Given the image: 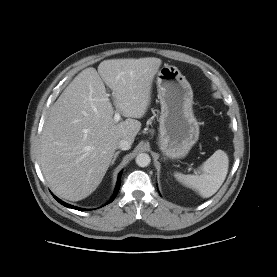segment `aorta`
I'll return each mask as SVG.
<instances>
[{
    "instance_id": "1",
    "label": "aorta",
    "mask_w": 277,
    "mask_h": 277,
    "mask_svg": "<svg viewBox=\"0 0 277 277\" xmlns=\"http://www.w3.org/2000/svg\"><path fill=\"white\" fill-rule=\"evenodd\" d=\"M135 161L139 167H147L151 162V158L147 153H141L137 155Z\"/></svg>"
}]
</instances>
